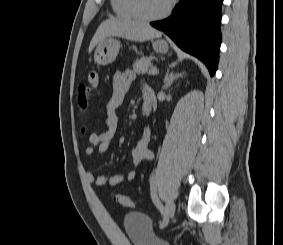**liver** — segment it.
Segmentation results:
<instances>
[{"label":"liver","mask_w":283,"mask_h":245,"mask_svg":"<svg viewBox=\"0 0 283 245\" xmlns=\"http://www.w3.org/2000/svg\"><path fill=\"white\" fill-rule=\"evenodd\" d=\"M162 33L152 28L147 23H141L131 20L110 18L101 23L93 36L90 45L89 53L102 40L108 37H122L135 42H144L149 39L161 37Z\"/></svg>","instance_id":"6515ba94"}]
</instances>
